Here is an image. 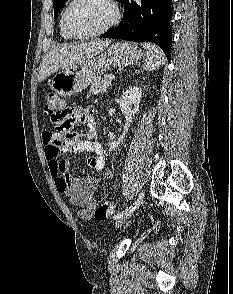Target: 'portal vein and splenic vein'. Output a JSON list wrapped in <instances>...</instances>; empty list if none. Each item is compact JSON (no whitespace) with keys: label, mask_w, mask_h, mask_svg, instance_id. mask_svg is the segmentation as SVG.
Segmentation results:
<instances>
[{"label":"portal vein and splenic vein","mask_w":233,"mask_h":294,"mask_svg":"<svg viewBox=\"0 0 233 294\" xmlns=\"http://www.w3.org/2000/svg\"><path fill=\"white\" fill-rule=\"evenodd\" d=\"M109 79H110V80H113V79H115V76L110 75V76H109Z\"/></svg>","instance_id":"18ae733b"}]
</instances>
